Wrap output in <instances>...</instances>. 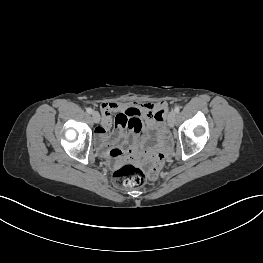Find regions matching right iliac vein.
Masks as SVG:
<instances>
[{
  "label": "right iliac vein",
  "instance_id": "1",
  "mask_svg": "<svg viewBox=\"0 0 263 263\" xmlns=\"http://www.w3.org/2000/svg\"><path fill=\"white\" fill-rule=\"evenodd\" d=\"M92 119L95 123H99L100 121V115L97 111L92 112Z\"/></svg>",
  "mask_w": 263,
  "mask_h": 263
}]
</instances>
